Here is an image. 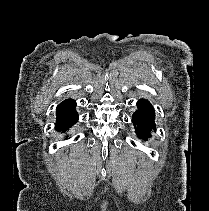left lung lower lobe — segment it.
<instances>
[{
    "instance_id": "0a47b994",
    "label": "left lung lower lobe",
    "mask_w": 209,
    "mask_h": 211,
    "mask_svg": "<svg viewBox=\"0 0 209 211\" xmlns=\"http://www.w3.org/2000/svg\"><path fill=\"white\" fill-rule=\"evenodd\" d=\"M138 110L133 114V124L136 126V133L143 139L151 136L150 132L156 129L154 123L155 113L152 105L142 99L137 103Z\"/></svg>"
}]
</instances>
